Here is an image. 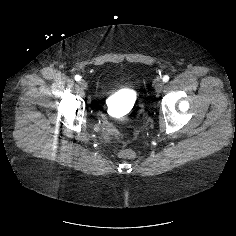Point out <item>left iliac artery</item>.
<instances>
[{
  "mask_svg": "<svg viewBox=\"0 0 236 236\" xmlns=\"http://www.w3.org/2000/svg\"><path fill=\"white\" fill-rule=\"evenodd\" d=\"M169 80V76L168 75H165L164 77H163V81L164 82H167Z\"/></svg>",
  "mask_w": 236,
  "mask_h": 236,
  "instance_id": "44dca946",
  "label": "left iliac artery"
}]
</instances>
